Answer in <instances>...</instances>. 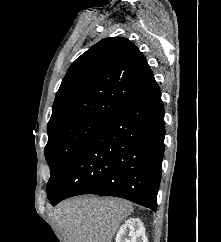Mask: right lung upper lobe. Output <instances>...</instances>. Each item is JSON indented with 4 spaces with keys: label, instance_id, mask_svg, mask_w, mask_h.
<instances>
[{
    "label": "right lung upper lobe",
    "instance_id": "right-lung-upper-lobe-1",
    "mask_svg": "<svg viewBox=\"0 0 221 242\" xmlns=\"http://www.w3.org/2000/svg\"><path fill=\"white\" fill-rule=\"evenodd\" d=\"M155 82L146 58L131 41L103 39L68 69L47 129L82 119L105 120Z\"/></svg>",
    "mask_w": 221,
    "mask_h": 242
}]
</instances>
